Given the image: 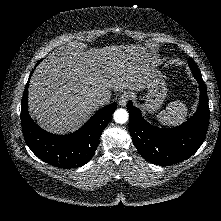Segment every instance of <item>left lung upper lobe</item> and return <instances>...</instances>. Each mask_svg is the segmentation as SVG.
I'll use <instances>...</instances> for the list:
<instances>
[{
  "mask_svg": "<svg viewBox=\"0 0 221 221\" xmlns=\"http://www.w3.org/2000/svg\"><path fill=\"white\" fill-rule=\"evenodd\" d=\"M189 66L193 74H201L198 66L196 65V63L194 62L192 58L189 59Z\"/></svg>",
  "mask_w": 221,
  "mask_h": 221,
  "instance_id": "1",
  "label": "left lung upper lobe"
}]
</instances>
